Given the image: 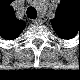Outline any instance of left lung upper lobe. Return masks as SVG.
I'll use <instances>...</instances> for the list:
<instances>
[{
    "instance_id": "left-lung-upper-lobe-1",
    "label": "left lung upper lobe",
    "mask_w": 80,
    "mask_h": 80,
    "mask_svg": "<svg viewBox=\"0 0 80 80\" xmlns=\"http://www.w3.org/2000/svg\"><path fill=\"white\" fill-rule=\"evenodd\" d=\"M52 26L59 36L64 39H70L76 34L77 27L75 19L66 2L62 1L55 19L52 20Z\"/></svg>"
}]
</instances>
